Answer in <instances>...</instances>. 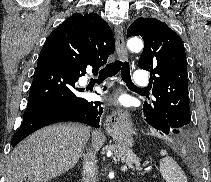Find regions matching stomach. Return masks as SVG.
Segmentation results:
<instances>
[{"label":"stomach","mask_w":211,"mask_h":182,"mask_svg":"<svg viewBox=\"0 0 211 182\" xmlns=\"http://www.w3.org/2000/svg\"><path fill=\"white\" fill-rule=\"evenodd\" d=\"M111 135L118 143L119 146H122L126 149H129L133 146L132 132L130 129L120 128L117 130H111Z\"/></svg>","instance_id":"stomach-1"}]
</instances>
